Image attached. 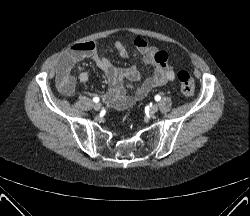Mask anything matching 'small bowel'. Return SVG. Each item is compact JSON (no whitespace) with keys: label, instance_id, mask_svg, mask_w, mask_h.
<instances>
[{"label":"small bowel","instance_id":"c3829d8e","mask_svg":"<svg viewBox=\"0 0 250 216\" xmlns=\"http://www.w3.org/2000/svg\"><path fill=\"white\" fill-rule=\"evenodd\" d=\"M134 46L143 55V64L151 68V74L142 78L137 67L117 68L110 60L97 51L94 42H83L74 45L59 57L56 64L57 86L63 95H71L75 89V78L71 75V69L75 63L91 58L104 71L109 83L107 99L118 110L130 107L136 101L143 99L152 89L163 86L175 80L174 67L168 60L166 51L149 45L143 39L133 40ZM115 49L125 58L128 50L124 43L116 41ZM81 83L89 81V74L81 72L78 75ZM139 83L135 88L133 84ZM126 88H134L133 95H127Z\"/></svg>","mask_w":250,"mask_h":216}]
</instances>
